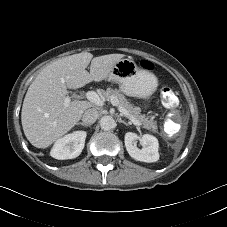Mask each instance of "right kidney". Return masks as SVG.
Here are the masks:
<instances>
[{
	"label": "right kidney",
	"instance_id": "1",
	"mask_svg": "<svg viewBox=\"0 0 227 227\" xmlns=\"http://www.w3.org/2000/svg\"><path fill=\"white\" fill-rule=\"evenodd\" d=\"M86 136L85 131H74L65 135L55 142L50 155L59 160L78 157L84 148Z\"/></svg>",
	"mask_w": 227,
	"mask_h": 227
}]
</instances>
